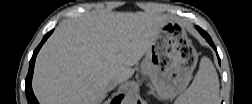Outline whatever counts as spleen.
Wrapping results in <instances>:
<instances>
[{
  "mask_svg": "<svg viewBox=\"0 0 252 104\" xmlns=\"http://www.w3.org/2000/svg\"><path fill=\"white\" fill-rule=\"evenodd\" d=\"M219 101V79L212 61L203 57L193 82L177 99V104H216Z\"/></svg>",
  "mask_w": 252,
  "mask_h": 104,
  "instance_id": "spleen-1",
  "label": "spleen"
}]
</instances>
